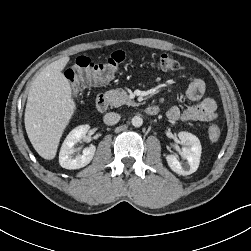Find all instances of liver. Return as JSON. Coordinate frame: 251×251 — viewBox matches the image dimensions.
Listing matches in <instances>:
<instances>
[{
  "label": "liver",
  "mask_w": 251,
  "mask_h": 251,
  "mask_svg": "<svg viewBox=\"0 0 251 251\" xmlns=\"http://www.w3.org/2000/svg\"><path fill=\"white\" fill-rule=\"evenodd\" d=\"M69 57L60 58L33 81L25 109V128L36 152L44 159L55 158L60 138L76 110L72 88L62 70Z\"/></svg>",
  "instance_id": "1"
}]
</instances>
